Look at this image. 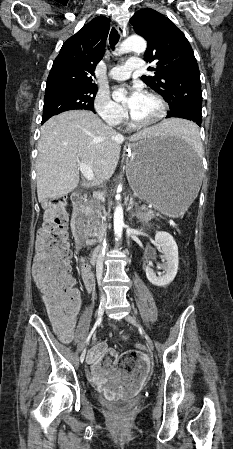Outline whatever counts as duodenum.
Here are the masks:
<instances>
[{"instance_id":"duodenum-1","label":"duodenum","mask_w":233,"mask_h":449,"mask_svg":"<svg viewBox=\"0 0 233 449\" xmlns=\"http://www.w3.org/2000/svg\"><path fill=\"white\" fill-rule=\"evenodd\" d=\"M85 197L82 194H75L72 197L73 213H72V227L78 236L85 229V219L83 215V204ZM101 258L100 251L96 250L91 254V263L96 264ZM81 272H93L92 266L88 263H83Z\"/></svg>"}]
</instances>
